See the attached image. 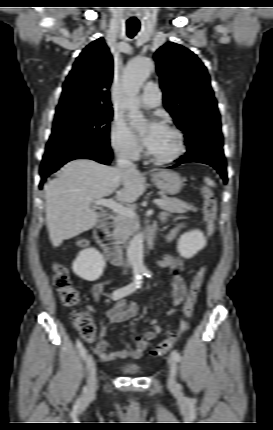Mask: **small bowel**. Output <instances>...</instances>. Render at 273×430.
I'll return each instance as SVG.
<instances>
[{"label":"small bowel","mask_w":273,"mask_h":430,"mask_svg":"<svg viewBox=\"0 0 273 430\" xmlns=\"http://www.w3.org/2000/svg\"><path fill=\"white\" fill-rule=\"evenodd\" d=\"M179 228L174 229L168 233L165 238L167 241H171L178 234ZM156 264L160 268H167L170 273V301L173 306H178L184 300L186 294V286L182 278V262L177 257L166 254L162 258L156 261ZM109 279H105L97 282L92 288V294L95 299H100L104 286L110 282ZM175 310L173 308L167 311V315H173ZM107 316L113 323H120L128 321L136 317L139 313V307L135 303L126 302L124 299L117 300L111 308L107 311ZM153 328L138 333L134 338V343L131 344L125 340V348L114 349L109 351V342L105 339L106 330L102 326L100 329V340L95 345V352L101 361L107 362L116 358H133L139 359L143 356L147 350L150 342L160 333L163 329L157 325V321L154 319L151 321Z\"/></svg>","instance_id":"obj_1"}]
</instances>
